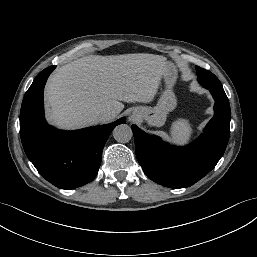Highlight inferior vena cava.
<instances>
[{
	"label": "inferior vena cava",
	"mask_w": 257,
	"mask_h": 257,
	"mask_svg": "<svg viewBox=\"0 0 257 257\" xmlns=\"http://www.w3.org/2000/svg\"><path fill=\"white\" fill-rule=\"evenodd\" d=\"M115 116H116V113L110 112V111H101V112H98L96 115L98 122H101V123L112 120Z\"/></svg>",
	"instance_id": "1"
}]
</instances>
